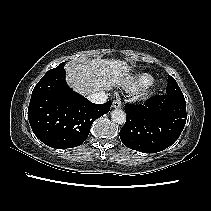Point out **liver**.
<instances>
[{
	"label": "liver",
	"mask_w": 211,
	"mask_h": 211,
	"mask_svg": "<svg viewBox=\"0 0 211 211\" xmlns=\"http://www.w3.org/2000/svg\"><path fill=\"white\" fill-rule=\"evenodd\" d=\"M130 66L117 59H87L66 67L68 85L87 96L119 86L129 76Z\"/></svg>",
	"instance_id": "liver-1"
}]
</instances>
